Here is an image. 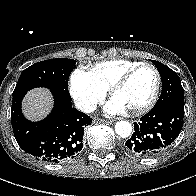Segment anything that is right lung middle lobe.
I'll return each instance as SVG.
<instances>
[{
	"instance_id": "1",
	"label": "right lung middle lobe",
	"mask_w": 196,
	"mask_h": 196,
	"mask_svg": "<svg viewBox=\"0 0 196 196\" xmlns=\"http://www.w3.org/2000/svg\"><path fill=\"white\" fill-rule=\"evenodd\" d=\"M76 61L56 58L35 63L25 69L17 82L13 97L35 87H46L71 98L68 92V79L76 67Z\"/></svg>"
}]
</instances>
